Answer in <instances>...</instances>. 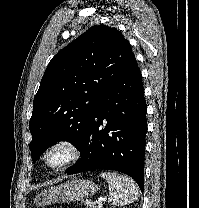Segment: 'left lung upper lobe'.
<instances>
[{"label":"left lung upper lobe","instance_id":"1","mask_svg":"<svg viewBox=\"0 0 199 208\" xmlns=\"http://www.w3.org/2000/svg\"><path fill=\"white\" fill-rule=\"evenodd\" d=\"M134 59L128 40L106 25L91 27L52 58L29 123L34 162L55 142L79 148L98 101Z\"/></svg>","mask_w":199,"mask_h":208}]
</instances>
